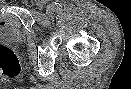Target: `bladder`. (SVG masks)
<instances>
[{
  "label": "bladder",
  "mask_w": 131,
  "mask_h": 89,
  "mask_svg": "<svg viewBox=\"0 0 131 89\" xmlns=\"http://www.w3.org/2000/svg\"><path fill=\"white\" fill-rule=\"evenodd\" d=\"M24 39V31L14 14L0 12V42L19 44Z\"/></svg>",
  "instance_id": "obj_1"
}]
</instances>
